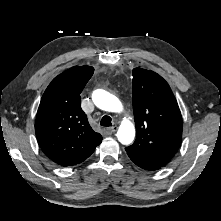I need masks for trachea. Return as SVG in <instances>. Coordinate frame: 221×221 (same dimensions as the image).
<instances>
[{
  "label": "trachea",
  "mask_w": 221,
  "mask_h": 221,
  "mask_svg": "<svg viewBox=\"0 0 221 221\" xmlns=\"http://www.w3.org/2000/svg\"><path fill=\"white\" fill-rule=\"evenodd\" d=\"M101 126H105V127H109L112 126V119L110 116L105 115L102 117L101 122H100Z\"/></svg>",
  "instance_id": "trachea-1"
}]
</instances>
